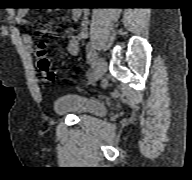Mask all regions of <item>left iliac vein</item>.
Returning a JSON list of instances; mask_svg holds the SVG:
<instances>
[{
    "mask_svg": "<svg viewBox=\"0 0 192 180\" xmlns=\"http://www.w3.org/2000/svg\"><path fill=\"white\" fill-rule=\"evenodd\" d=\"M105 70H106V62L102 57H100L97 61L95 70L90 78V82L98 81L105 73Z\"/></svg>",
    "mask_w": 192,
    "mask_h": 180,
    "instance_id": "obj_1",
    "label": "left iliac vein"
}]
</instances>
